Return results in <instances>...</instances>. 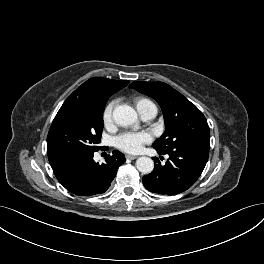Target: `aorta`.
<instances>
[{
  "label": "aorta",
  "instance_id": "762f6f07",
  "mask_svg": "<svg viewBox=\"0 0 264 264\" xmlns=\"http://www.w3.org/2000/svg\"><path fill=\"white\" fill-rule=\"evenodd\" d=\"M114 121L123 127L136 124L138 117L136 111L129 105H119L113 111ZM136 168L144 174H149L154 169V162L149 157H139L136 161Z\"/></svg>",
  "mask_w": 264,
  "mask_h": 264
}]
</instances>
